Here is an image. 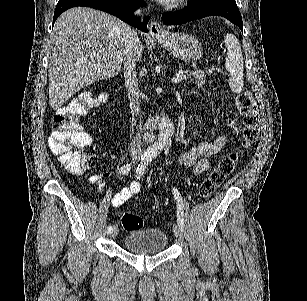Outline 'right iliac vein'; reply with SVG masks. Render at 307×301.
Returning <instances> with one entry per match:
<instances>
[{"instance_id": "right-iliac-vein-1", "label": "right iliac vein", "mask_w": 307, "mask_h": 301, "mask_svg": "<svg viewBox=\"0 0 307 301\" xmlns=\"http://www.w3.org/2000/svg\"><path fill=\"white\" fill-rule=\"evenodd\" d=\"M117 233H118V227H117V225H114V227H113V229L110 233V236L115 237L117 235Z\"/></svg>"}]
</instances>
